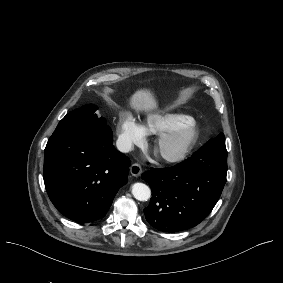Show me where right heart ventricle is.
Masks as SVG:
<instances>
[{
	"label": "right heart ventricle",
	"instance_id": "e07e8e85",
	"mask_svg": "<svg viewBox=\"0 0 283 283\" xmlns=\"http://www.w3.org/2000/svg\"><path fill=\"white\" fill-rule=\"evenodd\" d=\"M183 119H191V117L182 113H161L149 116V120L156 123L160 132L173 128Z\"/></svg>",
	"mask_w": 283,
	"mask_h": 283
}]
</instances>
